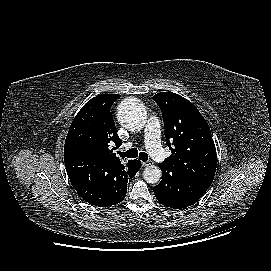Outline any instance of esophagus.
<instances>
[{"instance_id":"esophagus-1","label":"esophagus","mask_w":271,"mask_h":271,"mask_svg":"<svg viewBox=\"0 0 271 271\" xmlns=\"http://www.w3.org/2000/svg\"><path fill=\"white\" fill-rule=\"evenodd\" d=\"M151 164H152L151 161H145V162H142V166H143V167L149 166V165H151Z\"/></svg>"}]
</instances>
